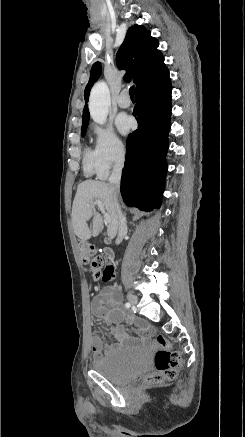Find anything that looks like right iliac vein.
<instances>
[{"label": "right iliac vein", "instance_id": "1", "mask_svg": "<svg viewBox=\"0 0 245 437\" xmlns=\"http://www.w3.org/2000/svg\"><path fill=\"white\" fill-rule=\"evenodd\" d=\"M127 299L129 301V303L132 304V305H136L138 303L137 297L135 295H133V294H128L127 295Z\"/></svg>", "mask_w": 245, "mask_h": 437}]
</instances>
